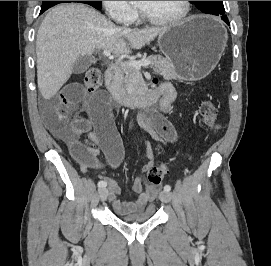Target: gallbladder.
I'll use <instances>...</instances> for the list:
<instances>
[{"instance_id":"gallbladder-1","label":"gallbladder","mask_w":271,"mask_h":266,"mask_svg":"<svg viewBox=\"0 0 271 266\" xmlns=\"http://www.w3.org/2000/svg\"><path fill=\"white\" fill-rule=\"evenodd\" d=\"M95 60L90 56H83L79 58L73 66V72L75 74L84 73Z\"/></svg>"}]
</instances>
